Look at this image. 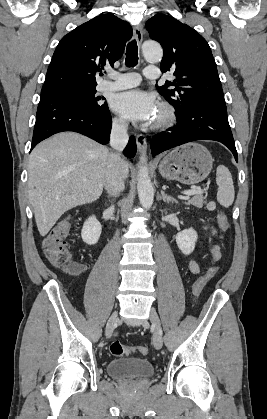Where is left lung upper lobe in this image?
I'll return each instance as SVG.
<instances>
[{"label": "left lung upper lobe", "instance_id": "obj_1", "mask_svg": "<svg viewBox=\"0 0 267 419\" xmlns=\"http://www.w3.org/2000/svg\"><path fill=\"white\" fill-rule=\"evenodd\" d=\"M146 28L150 37L164 49L161 71H173L176 77L161 87L156 86L173 105L176 116L197 106L225 105L211 49L198 32L165 14L150 18Z\"/></svg>", "mask_w": 267, "mask_h": 419}]
</instances>
